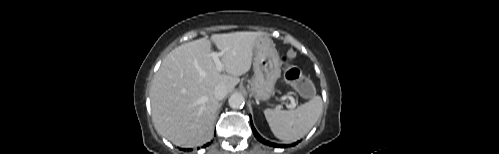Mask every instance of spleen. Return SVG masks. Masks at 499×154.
<instances>
[{
	"instance_id": "obj_1",
	"label": "spleen",
	"mask_w": 499,
	"mask_h": 154,
	"mask_svg": "<svg viewBox=\"0 0 499 154\" xmlns=\"http://www.w3.org/2000/svg\"><path fill=\"white\" fill-rule=\"evenodd\" d=\"M322 110L321 97L314 96L295 110L265 109L264 115L274 136L290 143L304 137L312 129Z\"/></svg>"
}]
</instances>
